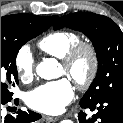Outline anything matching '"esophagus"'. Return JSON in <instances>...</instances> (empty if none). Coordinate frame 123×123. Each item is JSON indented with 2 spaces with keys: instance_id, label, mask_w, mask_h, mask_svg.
Segmentation results:
<instances>
[{
  "instance_id": "esophagus-1",
  "label": "esophagus",
  "mask_w": 123,
  "mask_h": 123,
  "mask_svg": "<svg viewBox=\"0 0 123 123\" xmlns=\"http://www.w3.org/2000/svg\"><path fill=\"white\" fill-rule=\"evenodd\" d=\"M44 119L48 122H56L58 121L60 118L59 117H52V116H44Z\"/></svg>"
}]
</instances>
